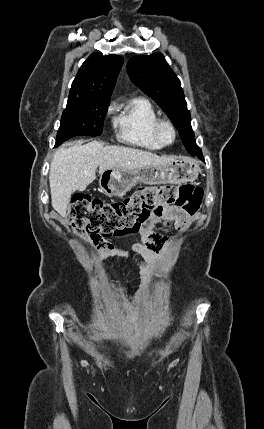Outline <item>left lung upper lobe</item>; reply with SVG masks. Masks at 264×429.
Returning a JSON list of instances; mask_svg holds the SVG:
<instances>
[{
	"label": "left lung upper lobe",
	"mask_w": 264,
	"mask_h": 429,
	"mask_svg": "<svg viewBox=\"0 0 264 429\" xmlns=\"http://www.w3.org/2000/svg\"><path fill=\"white\" fill-rule=\"evenodd\" d=\"M133 83L152 97L169 116L179 130L186 150L192 154L200 150L191 128V116L187 110L180 80L167 64L161 53L134 56L127 64Z\"/></svg>",
	"instance_id": "left-lung-upper-lobe-1"
}]
</instances>
